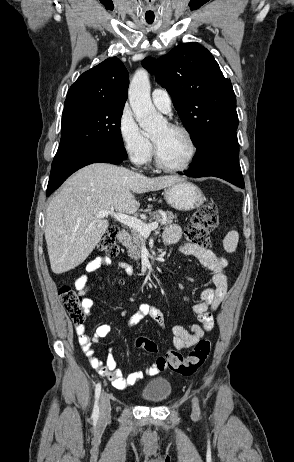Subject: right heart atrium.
I'll use <instances>...</instances> for the list:
<instances>
[{"mask_svg": "<svg viewBox=\"0 0 294 462\" xmlns=\"http://www.w3.org/2000/svg\"><path fill=\"white\" fill-rule=\"evenodd\" d=\"M117 129L125 153L135 164H145L151 156L152 144L128 106H124L119 115Z\"/></svg>", "mask_w": 294, "mask_h": 462, "instance_id": "obj_1", "label": "right heart atrium"}]
</instances>
